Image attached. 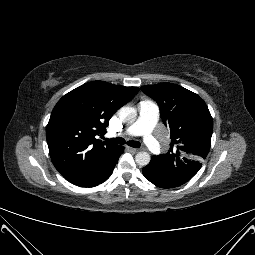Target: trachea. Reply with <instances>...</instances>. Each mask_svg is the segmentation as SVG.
<instances>
[{
  "mask_svg": "<svg viewBox=\"0 0 255 255\" xmlns=\"http://www.w3.org/2000/svg\"><path fill=\"white\" fill-rule=\"evenodd\" d=\"M108 141L112 142V143H116V144H125L126 143V141L121 137L108 139ZM127 144L134 148H139L141 146V144L137 141H128Z\"/></svg>",
  "mask_w": 255,
  "mask_h": 255,
  "instance_id": "trachea-1",
  "label": "trachea"
}]
</instances>
